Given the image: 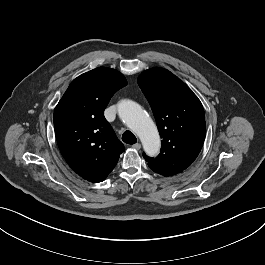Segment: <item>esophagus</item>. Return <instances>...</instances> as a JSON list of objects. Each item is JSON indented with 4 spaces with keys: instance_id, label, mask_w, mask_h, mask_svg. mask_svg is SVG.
I'll return each instance as SVG.
<instances>
[{
    "instance_id": "esophagus-1",
    "label": "esophagus",
    "mask_w": 265,
    "mask_h": 265,
    "mask_svg": "<svg viewBox=\"0 0 265 265\" xmlns=\"http://www.w3.org/2000/svg\"><path fill=\"white\" fill-rule=\"evenodd\" d=\"M132 148L135 150H139L141 148V144L140 143H136L134 145H132Z\"/></svg>"
}]
</instances>
